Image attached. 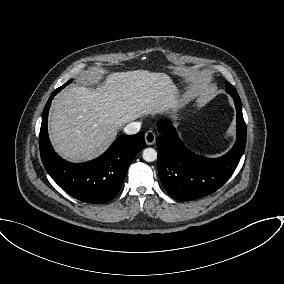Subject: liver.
Here are the masks:
<instances>
[{"instance_id": "obj_1", "label": "liver", "mask_w": 284, "mask_h": 284, "mask_svg": "<svg viewBox=\"0 0 284 284\" xmlns=\"http://www.w3.org/2000/svg\"><path fill=\"white\" fill-rule=\"evenodd\" d=\"M92 88L71 87L52 102L49 136L55 151L72 162L92 160L128 122L180 108L176 86L164 73L115 72Z\"/></svg>"}]
</instances>
